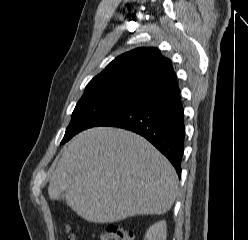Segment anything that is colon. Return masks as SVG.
I'll list each match as a JSON object with an SVG mask.
<instances>
[{"label":"colon","instance_id":"5ec220e1","mask_svg":"<svg viewBox=\"0 0 248 240\" xmlns=\"http://www.w3.org/2000/svg\"><path fill=\"white\" fill-rule=\"evenodd\" d=\"M68 240H77L74 234L70 232V228L66 229ZM101 240H134L131 233L124 230L116 224H110L107 230L102 234Z\"/></svg>","mask_w":248,"mask_h":240}]
</instances>
